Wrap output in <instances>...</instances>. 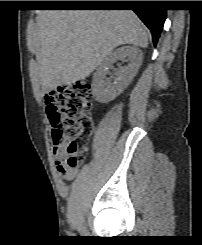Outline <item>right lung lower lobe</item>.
<instances>
[{"label":"right lung lower lobe","instance_id":"right-lung-lower-lobe-1","mask_svg":"<svg viewBox=\"0 0 202 245\" xmlns=\"http://www.w3.org/2000/svg\"><path fill=\"white\" fill-rule=\"evenodd\" d=\"M80 6L90 7H116L122 6L120 4H108V3H82ZM124 6V5H123ZM134 7L133 11L143 21V23L150 29L152 33V40L154 46H156L160 33L162 31L164 21L166 19V10L156 7V3L153 1H134L129 4Z\"/></svg>","mask_w":202,"mask_h":245}]
</instances>
